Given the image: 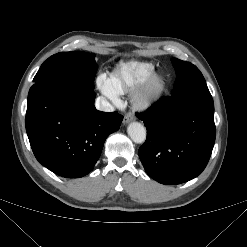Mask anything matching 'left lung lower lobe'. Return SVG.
<instances>
[{
  "label": "left lung lower lobe",
  "mask_w": 247,
  "mask_h": 247,
  "mask_svg": "<svg viewBox=\"0 0 247 247\" xmlns=\"http://www.w3.org/2000/svg\"><path fill=\"white\" fill-rule=\"evenodd\" d=\"M136 116L147 127L139 157L151 178L177 185L205 169L216 135L209 90L163 98Z\"/></svg>",
  "instance_id": "obj_1"
}]
</instances>
